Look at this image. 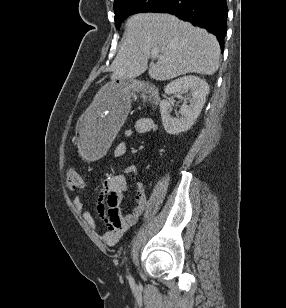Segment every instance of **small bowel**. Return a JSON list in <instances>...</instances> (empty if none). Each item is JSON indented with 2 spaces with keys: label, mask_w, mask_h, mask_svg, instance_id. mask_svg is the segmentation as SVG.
<instances>
[{
  "label": "small bowel",
  "mask_w": 286,
  "mask_h": 308,
  "mask_svg": "<svg viewBox=\"0 0 286 308\" xmlns=\"http://www.w3.org/2000/svg\"><path fill=\"white\" fill-rule=\"evenodd\" d=\"M156 123L151 118H141L137 120L133 128L125 129L124 139L130 138L133 134H146L155 132ZM125 152V144L122 142L115 149V156L120 157ZM139 168L136 165H129L122 174L114 175L102 183L100 189V198L97 205V212L100 218L108 223V230L102 233V239L109 246L116 245L123 234L136 222L144 213L147 205L146 187L144 183L138 182L135 191L136 205L132 211L126 215L121 213V204L125 194L128 191L127 176L137 174ZM75 208L82 214L85 222L97 228L98 224L92 214L86 209L82 198L76 196L73 200Z\"/></svg>",
  "instance_id": "1"
}]
</instances>
